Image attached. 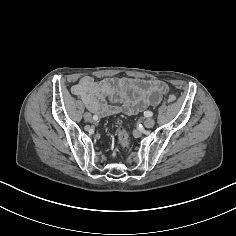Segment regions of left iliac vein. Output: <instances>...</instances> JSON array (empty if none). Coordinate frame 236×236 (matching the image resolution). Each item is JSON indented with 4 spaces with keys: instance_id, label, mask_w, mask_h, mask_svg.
<instances>
[{
    "instance_id": "left-iliac-vein-1",
    "label": "left iliac vein",
    "mask_w": 236,
    "mask_h": 236,
    "mask_svg": "<svg viewBox=\"0 0 236 236\" xmlns=\"http://www.w3.org/2000/svg\"><path fill=\"white\" fill-rule=\"evenodd\" d=\"M154 124H155V121L152 118H147L144 122V125L147 128H152L154 126Z\"/></svg>"
}]
</instances>
